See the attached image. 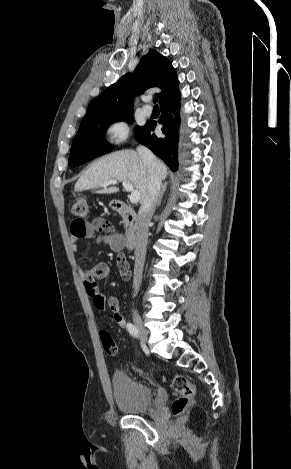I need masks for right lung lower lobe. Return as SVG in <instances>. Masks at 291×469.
I'll use <instances>...</instances> for the list:
<instances>
[{"mask_svg":"<svg viewBox=\"0 0 291 469\" xmlns=\"http://www.w3.org/2000/svg\"><path fill=\"white\" fill-rule=\"evenodd\" d=\"M180 92L179 90L172 96L160 103L161 117L159 123L162 124V137L152 134L156 127L155 121H148L145 126L135 131L136 140L148 147L155 155L161 158L172 171L178 168L177 149L178 131L180 124Z\"/></svg>","mask_w":291,"mask_h":469,"instance_id":"right-lung-lower-lobe-1","label":"right lung lower lobe"}]
</instances>
